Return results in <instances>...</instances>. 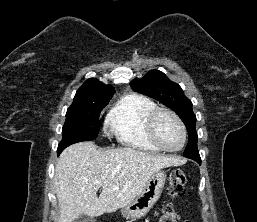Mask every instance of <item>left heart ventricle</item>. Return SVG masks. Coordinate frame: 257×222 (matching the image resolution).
I'll return each instance as SVG.
<instances>
[{
  "label": "left heart ventricle",
  "mask_w": 257,
  "mask_h": 222,
  "mask_svg": "<svg viewBox=\"0 0 257 222\" xmlns=\"http://www.w3.org/2000/svg\"><path fill=\"white\" fill-rule=\"evenodd\" d=\"M156 133L159 140L168 148H177L182 142V133L179 125L168 114H161L156 122Z\"/></svg>",
  "instance_id": "1"
}]
</instances>
